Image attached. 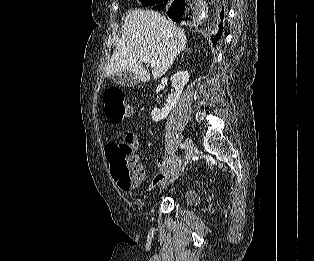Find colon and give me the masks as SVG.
I'll use <instances>...</instances> for the list:
<instances>
[{"instance_id": "colon-1", "label": "colon", "mask_w": 314, "mask_h": 261, "mask_svg": "<svg viewBox=\"0 0 314 261\" xmlns=\"http://www.w3.org/2000/svg\"><path fill=\"white\" fill-rule=\"evenodd\" d=\"M105 116L111 123H120L129 117L133 108L127 101L125 91L119 87H110L103 94ZM132 139L125 138L119 143L108 144L105 148L111 174L119 187L129 190L140 181L136 173L132 153L134 149Z\"/></svg>"}]
</instances>
